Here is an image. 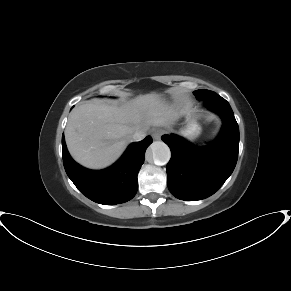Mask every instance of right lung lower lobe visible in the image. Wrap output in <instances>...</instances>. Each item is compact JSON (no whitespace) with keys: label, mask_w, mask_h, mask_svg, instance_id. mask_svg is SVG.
Returning a JSON list of instances; mask_svg holds the SVG:
<instances>
[{"label":"right lung lower lobe","mask_w":291,"mask_h":291,"mask_svg":"<svg viewBox=\"0 0 291 291\" xmlns=\"http://www.w3.org/2000/svg\"><path fill=\"white\" fill-rule=\"evenodd\" d=\"M151 143L150 136L132 143L115 164L104 170L93 171L80 166L70 157L62 136L64 168L74 185L90 200L104 205L124 203L137 192V175Z\"/></svg>","instance_id":"1"}]
</instances>
